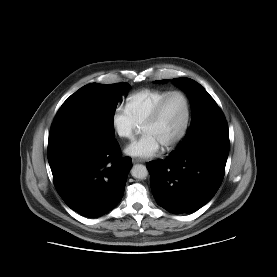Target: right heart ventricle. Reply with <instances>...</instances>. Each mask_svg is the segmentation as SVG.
<instances>
[{
  "mask_svg": "<svg viewBox=\"0 0 277 277\" xmlns=\"http://www.w3.org/2000/svg\"><path fill=\"white\" fill-rule=\"evenodd\" d=\"M170 92L162 89H143L131 94L126 109L138 125H143L159 101Z\"/></svg>",
  "mask_w": 277,
  "mask_h": 277,
  "instance_id": "1",
  "label": "right heart ventricle"
}]
</instances>
